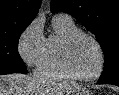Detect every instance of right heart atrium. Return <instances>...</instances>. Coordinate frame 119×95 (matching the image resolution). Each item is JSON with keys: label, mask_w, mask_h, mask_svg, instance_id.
I'll return each mask as SVG.
<instances>
[{"label": "right heart atrium", "mask_w": 119, "mask_h": 95, "mask_svg": "<svg viewBox=\"0 0 119 95\" xmlns=\"http://www.w3.org/2000/svg\"><path fill=\"white\" fill-rule=\"evenodd\" d=\"M44 44L42 25L39 20H34L23 30L18 40V52L27 66L37 67Z\"/></svg>", "instance_id": "1"}]
</instances>
